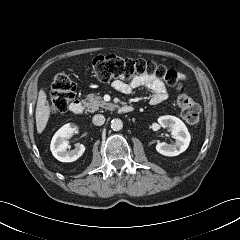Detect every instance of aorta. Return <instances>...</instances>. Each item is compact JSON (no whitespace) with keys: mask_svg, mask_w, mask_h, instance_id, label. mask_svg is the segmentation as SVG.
Returning <instances> with one entry per match:
<instances>
[{"mask_svg":"<svg viewBox=\"0 0 240 240\" xmlns=\"http://www.w3.org/2000/svg\"><path fill=\"white\" fill-rule=\"evenodd\" d=\"M111 128L114 131H120L123 128V122L120 119H113L111 121Z\"/></svg>","mask_w":240,"mask_h":240,"instance_id":"aorta-1","label":"aorta"}]
</instances>
